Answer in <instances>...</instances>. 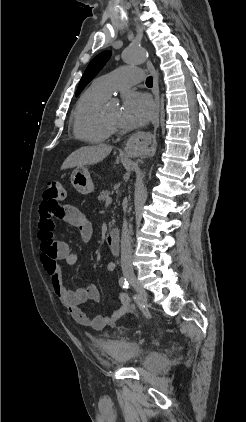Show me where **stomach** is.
<instances>
[{"mask_svg": "<svg viewBox=\"0 0 246 422\" xmlns=\"http://www.w3.org/2000/svg\"><path fill=\"white\" fill-rule=\"evenodd\" d=\"M72 186L81 194H89L94 190V184L87 168L80 167L71 174Z\"/></svg>", "mask_w": 246, "mask_h": 422, "instance_id": "stomach-1", "label": "stomach"}]
</instances>
